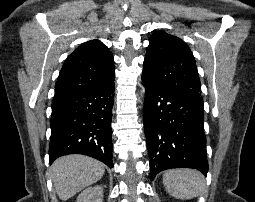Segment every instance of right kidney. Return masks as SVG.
Wrapping results in <instances>:
<instances>
[{
	"mask_svg": "<svg viewBox=\"0 0 255 202\" xmlns=\"http://www.w3.org/2000/svg\"><path fill=\"white\" fill-rule=\"evenodd\" d=\"M103 201V188L102 186H94L85 189L77 197L76 202H102Z\"/></svg>",
	"mask_w": 255,
	"mask_h": 202,
	"instance_id": "1",
	"label": "right kidney"
}]
</instances>
